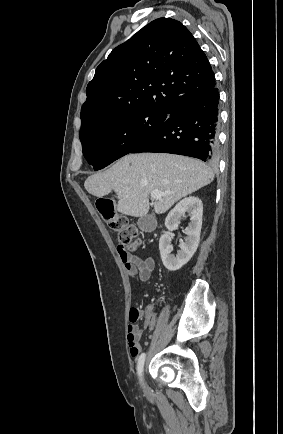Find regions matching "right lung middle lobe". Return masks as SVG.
Here are the masks:
<instances>
[{
	"label": "right lung middle lobe",
	"mask_w": 283,
	"mask_h": 434,
	"mask_svg": "<svg viewBox=\"0 0 283 434\" xmlns=\"http://www.w3.org/2000/svg\"><path fill=\"white\" fill-rule=\"evenodd\" d=\"M169 112L140 109L109 118L80 131L83 154L95 170L102 169L130 153L158 129Z\"/></svg>",
	"instance_id": "obj_1"
}]
</instances>
